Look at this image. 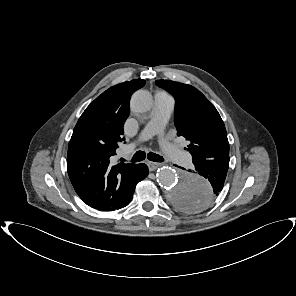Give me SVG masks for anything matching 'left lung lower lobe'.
<instances>
[{
    "mask_svg": "<svg viewBox=\"0 0 296 296\" xmlns=\"http://www.w3.org/2000/svg\"><path fill=\"white\" fill-rule=\"evenodd\" d=\"M194 170L190 172L202 175L208 179L212 187L208 190H201L195 193L181 192L180 199H195V203L190 206L193 211L201 210L208 206L219 192L222 190L226 174L229 167V158H218L214 160H197L193 161ZM190 175V174H186Z\"/></svg>",
    "mask_w": 296,
    "mask_h": 296,
    "instance_id": "obj_1",
    "label": "left lung lower lobe"
}]
</instances>
